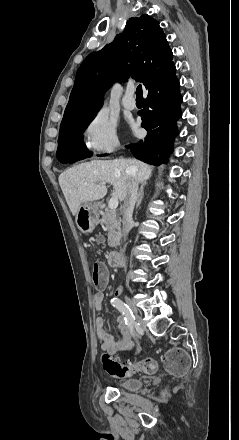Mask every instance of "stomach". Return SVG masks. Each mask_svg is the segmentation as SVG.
<instances>
[{
  "mask_svg": "<svg viewBox=\"0 0 239 440\" xmlns=\"http://www.w3.org/2000/svg\"><path fill=\"white\" fill-rule=\"evenodd\" d=\"M99 202H83L78 208L75 224L82 234H91L99 220Z\"/></svg>",
  "mask_w": 239,
  "mask_h": 440,
  "instance_id": "stomach-1",
  "label": "stomach"
}]
</instances>
